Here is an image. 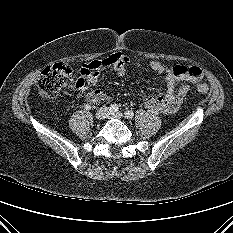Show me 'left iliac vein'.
<instances>
[{
	"label": "left iliac vein",
	"mask_w": 233,
	"mask_h": 233,
	"mask_svg": "<svg viewBox=\"0 0 233 233\" xmlns=\"http://www.w3.org/2000/svg\"><path fill=\"white\" fill-rule=\"evenodd\" d=\"M109 118H115V119H121L123 117V114L120 112L117 113H109L108 114Z\"/></svg>",
	"instance_id": "obj_1"
}]
</instances>
